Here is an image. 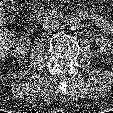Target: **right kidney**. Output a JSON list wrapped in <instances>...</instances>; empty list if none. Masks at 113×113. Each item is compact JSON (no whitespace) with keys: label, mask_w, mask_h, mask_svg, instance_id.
I'll list each match as a JSON object with an SVG mask.
<instances>
[{"label":"right kidney","mask_w":113,"mask_h":113,"mask_svg":"<svg viewBox=\"0 0 113 113\" xmlns=\"http://www.w3.org/2000/svg\"><path fill=\"white\" fill-rule=\"evenodd\" d=\"M29 44L30 42L26 37L20 38L13 46L12 55L18 59L24 58L27 54Z\"/></svg>","instance_id":"obj_1"}]
</instances>
